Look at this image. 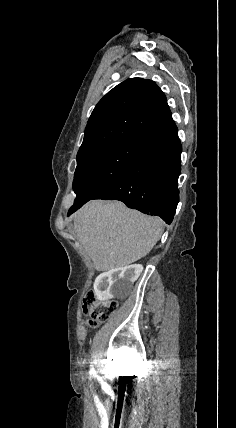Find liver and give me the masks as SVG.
<instances>
[{"label": "liver", "instance_id": "liver-1", "mask_svg": "<svg viewBox=\"0 0 236 428\" xmlns=\"http://www.w3.org/2000/svg\"><path fill=\"white\" fill-rule=\"evenodd\" d=\"M74 230L95 270H111L145 258L157 244L163 222L129 210L122 202L91 200L75 212Z\"/></svg>", "mask_w": 236, "mask_h": 428}]
</instances>
